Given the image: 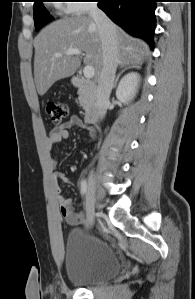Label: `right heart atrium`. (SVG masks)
I'll use <instances>...</instances> for the list:
<instances>
[{
	"label": "right heart atrium",
	"mask_w": 195,
	"mask_h": 299,
	"mask_svg": "<svg viewBox=\"0 0 195 299\" xmlns=\"http://www.w3.org/2000/svg\"><path fill=\"white\" fill-rule=\"evenodd\" d=\"M90 2L89 0H69L63 4L65 5L64 11L72 14H86L91 9Z\"/></svg>",
	"instance_id": "d8ad5b80"
}]
</instances>
